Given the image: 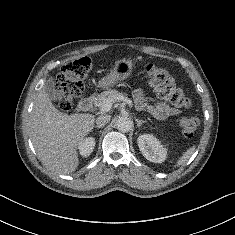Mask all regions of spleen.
Instances as JSON below:
<instances>
[{
    "mask_svg": "<svg viewBox=\"0 0 235 235\" xmlns=\"http://www.w3.org/2000/svg\"><path fill=\"white\" fill-rule=\"evenodd\" d=\"M195 146L190 147L183 155L182 157L178 160L177 162V166H180L182 164H184L189 158L190 156L193 154V152L195 151Z\"/></svg>",
    "mask_w": 235,
    "mask_h": 235,
    "instance_id": "obj_1",
    "label": "spleen"
}]
</instances>
